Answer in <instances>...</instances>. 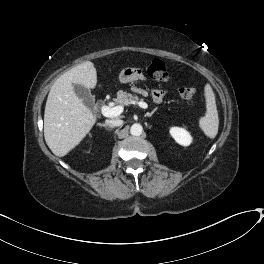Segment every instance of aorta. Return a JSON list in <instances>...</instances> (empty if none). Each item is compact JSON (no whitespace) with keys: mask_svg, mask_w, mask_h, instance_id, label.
Wrapping results in <instances>:
<instances>
[{"mask_svg":"<svg viewBox=\"0 0 264 264\" xmlns=\"http://www.w3.org/2000/svg\"><path fill=\"white\" fill-rule=\"evenodd\" d=\"M143 127L139 123H135L130 128V133L133 136H140L142 134Z\"/></svg>","mask_w":264,"mask_h":264,"instance_id":"1","label":"aorta"}]
</instances>
